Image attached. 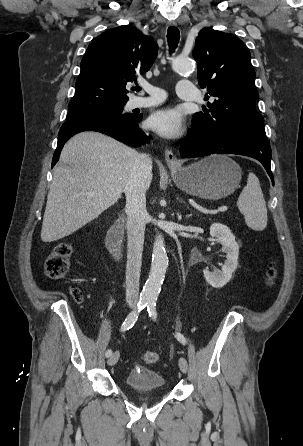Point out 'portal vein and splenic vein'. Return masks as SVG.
I'll list each match as a JSON object with an SVG mask.
<instances>
[{
  "label": "portal vein and splenic vein",
  "mask_w": 303,
  "mask_h": 446,
  "mask_svg": "<svg viewBox=\"0 0 303 446\" xmlns=\"http://www.w3.org/2000/svg\"><path fill=\"white\" fill-rule=\"evenodd\" d=\"M227 209H228L227 206H221V207L218 208V211L219 212H226Z\"/></svg>",
  "instance_id": "18ae733b"
}]
</instances>
